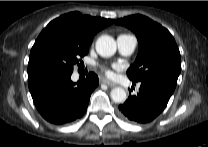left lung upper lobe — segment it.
<instances>
[{
	"label": "left lung upper lobe",
	"mask_w": 208,
	"mask_h": 147,
	"mask_svg": "<svg viewBox=\"0 0 208 147\" xmlns=\"http://www.w3.org/2000/svg\"><path fill=\"white\" fill-rule=\"evenodd\" d=\"M115 23L132 30L139 42L137 58L127 70L129 79L140 82L157 78L176 86L181 71V59L170 32L142 15L124 17Z\"/></svg>",
	"instance_id": "left-lung-upper-lobe-1"
}]
</instances>
